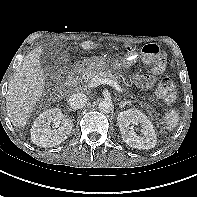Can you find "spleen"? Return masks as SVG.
Wrapping results in <instances>:
<instances>
[{
  "label": "spleen",
  "mask_w": 197,
  "mask_h": 197,
  "mask_svg": "<svg viewBox=\"0 0 197 197\" xmlns=\"http://www.w3.org/2000/svg\"><path fill=\"white\" fill-rule=\"evenodd\" d=\"M180 120L179 112L176 109H172L169 112H167L164 116V121L167 125L168 130H173Z\"/></svg>",
  "instance_id": "3e777b00"
}]
</instances>
